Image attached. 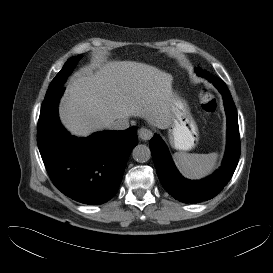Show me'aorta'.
Masks as SVG:
<instances>
[{
  "label": "aorta",
  "mask_w": 273,
  "mask_h": 273,
  "mask_svg": "<svg viewBox=\"0 0 273 273\" xmlns=\"http://www.w3.org/2000/svg\"><path fill=\"white\" fill-rule=\"evenodd\" d=\"M133 159L139 163H145L151 158L150 148L146 145H137L132 151Z\"/></svg>",
  "instance_id": "aorta-1"
}]
</instances>
